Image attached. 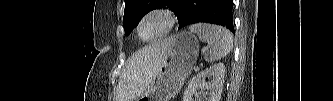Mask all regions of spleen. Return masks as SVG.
<instances>
[{"label": "spleen", "mask_w": 333, "mask_h": 101, "mask_svg": "<svg viewBox=\"0 0 333 101\" xmlns=\"http://www.w3.org/2000/svg\"><path fill=\"white\" fill-rule=\"evenodd\" d=\"M189 30L196 33L199 39L208 44L209 51L205 55L207 62L217 61L230 53L233 47V37L226 28L198 23L191 25Z\"/></svg>", "instance_id": "spleen-1"}]
</instances>
